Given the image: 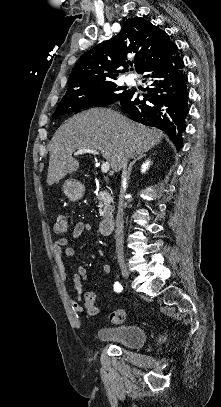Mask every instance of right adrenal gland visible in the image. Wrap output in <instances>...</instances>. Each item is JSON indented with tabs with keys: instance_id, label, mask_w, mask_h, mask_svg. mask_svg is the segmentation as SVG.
Here are the masks:
<instances>
[{
	"instance_id": "obj_1",
	"label": "right adrenal gland",
	"mask_w": 221,
	"mask_h": 407,
	"mask_svg": "<svg viewBox=\"0 0 221 407\" xmlns=\"http://www.w3.org/2000/svg\"><path fill=\"white\" fill-rule=\"evenodd\" d=\"M145 156H146V154H145V153H142V154H140L138 157H136V158L130 163V165H129V167H128V172H127V180H130V175H131V171H132L133 165H134L138 160L142 159V158L145 157Z\"/></svg>"
}]
</instances>
